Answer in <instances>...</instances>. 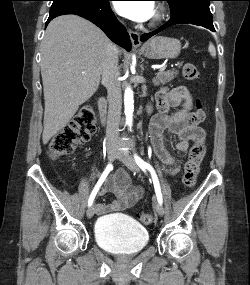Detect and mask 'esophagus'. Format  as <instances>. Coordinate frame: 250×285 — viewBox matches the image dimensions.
<instances>
[{
	"mask_svg": "<svg viewBox=\"0 0 250 285\" xmlns=\"http://www.w3.org/2000/svg\"><path fill=\"white\" fill-rule=\"evenodd\" d=\"M129 36H130L131 43H132L133 47H134V48L139 47L140 44H141L139 33L136 32V31L130 30V31H129Z\"/></svg>",
	"mask_w": 250,
	"mask_h": 285,
	"instance_id": "esophagus-1",
	"label": "esophagus"
}]
</instances>
